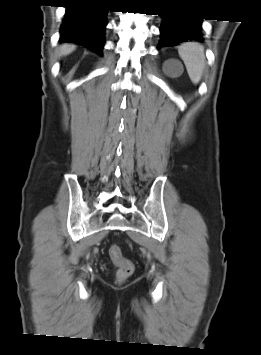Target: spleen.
<instances>
[{"mask_svg":"<svg viewBox=\"0 0 261 355\" xmlns=\"http://www.w3.org/2000/svg\"><path fill=\"white\" fill-rule=\"evenodd\" d=\"M178 53L186 66L191 81L198 84L202 79L206 64L204 47L195 42L183 43L178 47Z\"/></svg>","mask_w":261,"mask_h":355,"instance_id":"spleen-1","label":"spleen"}]
</instances>
